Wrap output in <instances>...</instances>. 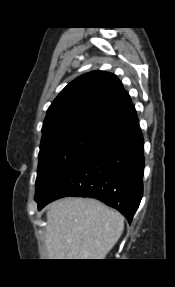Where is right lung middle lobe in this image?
Segmentation results:
<instances>
[{"instance_id":"right-lung-middle-lobe-1","label":"right lung middle lobe","mask_w":175,"mask_h":287,"mask_svg":"<svg viewBox=\"0 0 175 287\" xmlns=\"http://www.w3.org/2000/svg\"><path fill=\"white\" fill-rule=\"evenodd\" d=\"M114 127L100 122L75 123L43 133L35 196L42 195L57 178Z\"/></svg>"}]
</instances>
